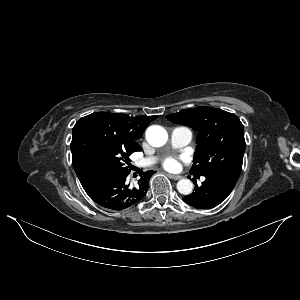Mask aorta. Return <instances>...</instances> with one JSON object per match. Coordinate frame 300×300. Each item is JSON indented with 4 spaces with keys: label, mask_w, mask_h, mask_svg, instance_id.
Segmentation results:
<instances>
[{
    "label": "aorta",
    "mask_w": 300,
    "mask_h": 300,
    "mask_svg": "<svg viewBox=\"0 0 300 300\" xmlns=\"http://www.w3.org/2000/svg\"><path fill=\"white\" fill-rule=\"evenodd\" d=\"M146 140L154 147L163 146L168 140L167 131L159 126L152 125L146 130ZM177 190L183 195H189L193 191V183L189 179H181L177 183Z\"/></svg>",
    "instance_id": "1"
}]
</instances>
